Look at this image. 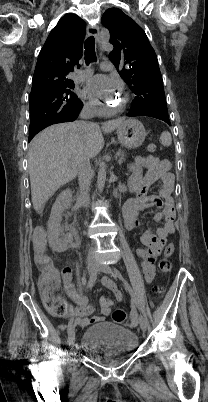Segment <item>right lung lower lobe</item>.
Returning <instances> with one entry per match:
<instances>
[{
	"label": "right lung lower lobe",
	"mask_w": 208,
	"mask_h": 402,
	"mask_svg": "<svg viewBox=\"0 0 208 402\" xmlns=\"http://www.w3.org/2000/svg\"><path fill=\"white\" fill-rule=\"evenodd\" d=\"M82 108V104L80 107L72 112H65V113H56V114H45L43 116H38L32 118L30 121V134H29V141L41 130L44 128L62 122H71L77 119L79 112Z\"/></svg>",
	"instance_id": "1"
}]
</instances>
